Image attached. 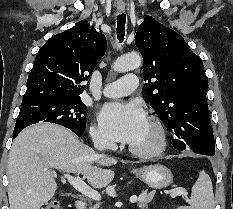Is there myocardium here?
Masks as SVG:
<instances>
[{"label": "myocardium", "instance_id": "1", "mask_svg": "<svg viewBox=\"0 0 233 209\" xmlns=\"http://www.w3.org/2000/svg\"><path fill=\"white\" fill-rule=\"evenodd\" d=\"M148 122L150 123L156 135L155 144L152 147L146 149H141L133 145H129V151L133 155L140 158H152L159 156L164 152L167 146V134L160 121L156 117L150 116L148 118Z\"/></svg>", "mask_w": 233, "mask_h": 209}]
</instances>
